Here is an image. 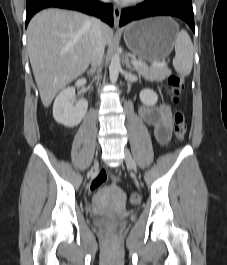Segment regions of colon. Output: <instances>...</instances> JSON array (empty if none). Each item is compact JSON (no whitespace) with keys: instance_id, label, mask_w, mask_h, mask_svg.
<instances>
[{"instance_id":"5ec220e1","label":"colon","mask_w":227,"mask_h":265,"mask_svg":"<svg viewBox=\"0 0 227 265\" xmlns=\"http://www.w3.org/2000/svg\"><path fill=\"white\" fill-rule=\"evenodd\" d=\"M168 84L171 92V100L177 104L180 101V94L185 85V78L181 75H171L168 79ZM174 120V132L178 141L182 142L187 134V123L183 112L179 109H175L173 114ZM108 179L107 173L104 170L99 171L89 184V191L94 193L97 191ZM132 204H138L140 202V196L138 194H132L129 198Z\"/></svg>"}]
</instances>
